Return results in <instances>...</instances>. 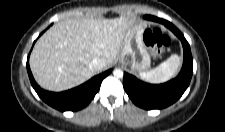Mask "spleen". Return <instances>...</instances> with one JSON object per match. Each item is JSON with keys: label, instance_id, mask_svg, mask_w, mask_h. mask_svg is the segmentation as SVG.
<instances>
[{"label": "spleen", "instance_id": "obj_1", "mask_svg": "<svg viewBox=\"0 0 225 132\" xmlns=\"http://www.w3.org/2000/svg\"><path fill=\"white\" fill-rule=\"evenodd\" d=\"M181 60L180 56L173 54L156 68L139 73V77L152 84L164 83L177 74L181 65Z\"/></svg>", "mask_w": 225, "mask_h": 132}]
</instances>
